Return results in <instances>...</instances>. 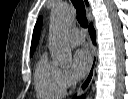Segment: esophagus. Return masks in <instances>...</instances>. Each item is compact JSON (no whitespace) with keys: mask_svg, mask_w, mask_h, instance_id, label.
Returning <instances> with one entry per match:
<instances>
[{"mask_svg":"<svg viewBox=\"0 0 128 99\" xmlns=\"http://www.w3.org/2000/svg\"><path fill=\"white\" fill-rule=\"evenodd\" d=\"M96 61H97V54H96V47H92V56H91V64L87 73V76L85 77L84 81L81 83L77 90V95L83 94L90 86L94 74H95V67H96Z\"/></svg>","mask_w":128,"mask_h":99,"instance_id":"obj_1","label":"esophagus"}]
</instances>
